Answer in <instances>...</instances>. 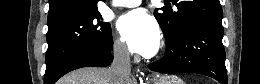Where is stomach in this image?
I'll return each instance as SVG.
<instances>
[{
    "label": "stomach",
    "instance_id": "obj_1",
    "mask_svg": "<svg viewBox=\"0 0 260 84\" xmlns=\"http://www.w3.org/2000/svg\"><path fill=\"white\" fill-rule=\"evenodd\" d=\"M153 84H185L182 79L176 75H161L156 77L153 81Z\"/></svg>",
    "mask_w": 260,
    "mask_h": 84
}]
</instances>
